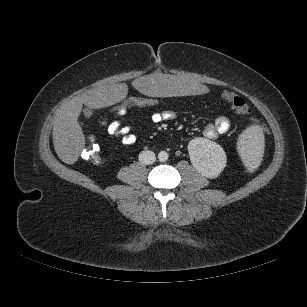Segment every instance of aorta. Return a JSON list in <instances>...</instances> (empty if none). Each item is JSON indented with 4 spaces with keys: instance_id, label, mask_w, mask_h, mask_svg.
Returning <instances> with one entry per match:
<instances>
[{
    "instance_id": "aorta-1",
    "label": "aorta",
    "mask_w": 307,
    "mask_h": 307,
    "mask_svg": "<svg viewBox=\"0 0 307 307\" xmlns=\"http://www.w3.org/2000/svg\"><path fill=\"white\" fill-rule=\"evenodd\" d=\"M168 158H169V155H168V153H167L166 151H160V152L158 153V159H159V161L165 162V161L168 160Z\"/></svg>"
}]
</instances>
